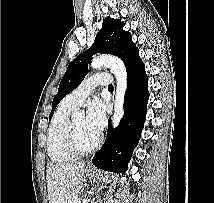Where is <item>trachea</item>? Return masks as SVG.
Instances as JSON below:
<instances>
[{
  "label": "trachea",
  "instance_id": "3493384b",
  "mask_svg": "<svg viewBox=\"0 0 214 203\" xmlns=\"http://www.w3.org/2000/svg\"><path fill=\"white\" fill-rule=\"evenodd\" d=\"M108 88H113V85H112V84H110V85L108 86Z\"/></svg>",
  "mask_w": 214,
  "mask_h": 203
}]
</instances>
